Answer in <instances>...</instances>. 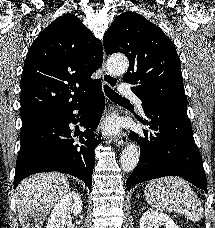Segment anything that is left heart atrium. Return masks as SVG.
<instances>
[{"mask_svg": "<svg viewBox=\"0 0 215 228\" xmlns=\"http://www.w3.org/2000/svg\"><path fill=\"white\" fill-rule=\"evenodd\" d=\"M103 133H114L117 131V124L115 120L109 119L101 127Z\"/></svg>", "mask_w": 215, "mask_h": 228, "instance_id": "obj_1", "label": "left heart atrium"}]
</instances>
